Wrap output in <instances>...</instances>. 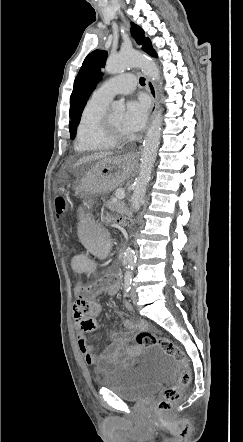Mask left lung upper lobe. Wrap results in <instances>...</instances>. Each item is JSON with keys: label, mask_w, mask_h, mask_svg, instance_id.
Listing matches in <instances>:
<instances>
[{"label": "left lung upper lobe", "mask_w": 243, "mask_h": 442, "mask_svg": "<svg viewBox=\"0 0 243 442\" xmlns=\"http://www.w3.org/2000/svg\"><path fill=\"white\" fill-rule=\"evenodd\" d=\"M132 34L137 43L142 45V49L150 54L153 50L151 42L144 36V31L139 26L132 23ZM107 59V52L95 50L91 52L84 60L82 67L74 81L73 92L70 97L69 115L71 122L69 124L70 136L73 139L76 136V128L80 122L82 111L87 103L89 96L95 88L97 82L101 79L100 68L104 66Z\"/></svg>", "instance_id": "left-lung-upper-lobe-1"}]
</instances>
